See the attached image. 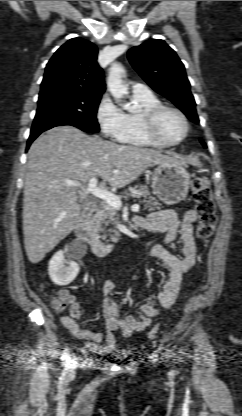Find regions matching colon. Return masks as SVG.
<instances>
[{"mask_svg":"<svg viewBox=\"0 0 242 416\" xmlns=\"http://www.w3.org/2000/svg\"><path fill=\"white\" fill-rule=\"evenodd\" d=\"M192 192L199 217L196 234L200 240L206 241L213 234L217 224L216 205L208 180L205 177L194 178ZM70 302V297L65 291L58 292L53 299V305L57 311L63 310ZM158 331L157 327L152 328L148 337L154 339L158 335Z\"/></svg>","mask_w":242,"mask_h":416,"instance_id":"obj_1","label":"colon"}]
</instances>
